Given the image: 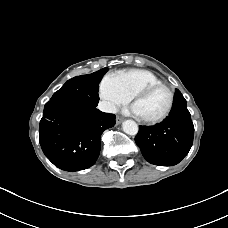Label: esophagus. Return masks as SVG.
Listing matches in <instances>:
<instances>
[{
	"mask_svg": "<svg viewBox=\"0 0 228 228\" xmlns=\"http://www.w3.org/2000/svg\"><path fill=\"white\" fill-rule=\"evenodd\" d=\"M122 118L121 117H116V124H120L122 122Z\"/></svg>",
	"mask_w": 228,
	"mask_h": 228,
	"instance_id": "34e87169",
	"label": "esophagus"
}]
</instances>
